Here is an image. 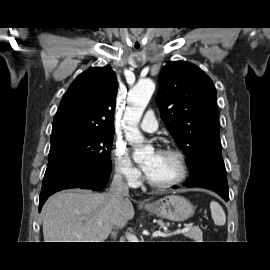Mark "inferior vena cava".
I'll return each mask as SVG.
<instances>
[{
	"mask_svg": "<svg viewBox=\"0 0 270 270\" xmlns=\"http://www.w3.org/2000/svg\"><path fill=\"white\" fill-rule=\"evenodd\" d=\"M109 193L112 194L118 202L129 196L128 186L126 182L123 181L119 172H116L113 177ZM112 236L116 237V233H112Z\"/></svg>",
	"mask_w": 270,
	"mask_h": 270,
	"instance_id": "602c4592",
	"label": "inferior vena cava"
}]
</instances>
